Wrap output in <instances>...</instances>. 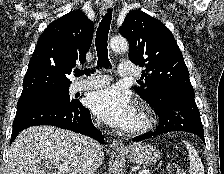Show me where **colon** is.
Returning <instances> with one entry per match:
<instances>
[{"label":"colon","mask_w":224,"mask_h":174,"mask_svg":"<svg viewBox=\"0 0 224 174\" xmlns=\"http://www.w3.org/2000/svg\"><path fill=\"white\" fill-rule=\"evenodd\" d=\"M169 174H186L185 171L176 164L169 166Z\"/></svg>","instance_id":"colon-1"}]
</instances>
